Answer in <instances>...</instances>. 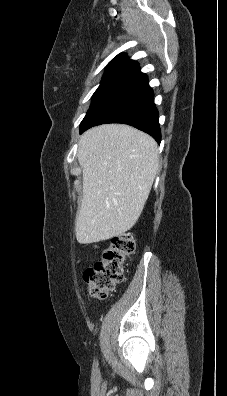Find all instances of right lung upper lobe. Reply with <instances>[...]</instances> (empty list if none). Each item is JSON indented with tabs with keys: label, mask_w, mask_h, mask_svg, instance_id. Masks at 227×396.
<instances>
[{
	"label": "right lung upper lobe",
	"mask_w": 227,
	"mask_h": 396,
	"mask_svg": "<svg viewBox=\"0 0 227 396\" xmlns=\"http://www.w3.org/2000/svg\"><path fill=\"white\" fill-rule=\"evenodd\" d=\"M140 67L136 61L130 60L123 53L117 55L107 66L106 71L127 70L136 72Z\"/></svg>",
	"instance_id": "cb5924a9"
}]
</instances>
